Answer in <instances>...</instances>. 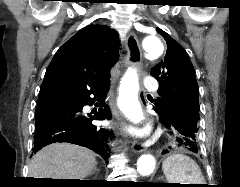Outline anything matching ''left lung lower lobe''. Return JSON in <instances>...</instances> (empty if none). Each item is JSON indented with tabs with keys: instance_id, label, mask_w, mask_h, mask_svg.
I'll list each match as a JSON object with an SVG mask.
<instances>
[{
	"instance_id": "0a47b994",
	"label": "left lung lower lobe",
	"mask_w": 240,
	"mask_h": 187,
	"mask_svg": "<svg viewBox=\"0 0 240 187\" xmlns=\"http://www.w3.org/2000/svg\"><path fill=\"white\" fill-rule=\"evenodd\" d=\"M154 110L158 113L161 123L173 129L175 141L178 146L185 147L189 151L198 153V121L192 116L172 108L161 110L154 108ZM169 148L171 149V147ZM163 152L167 153L169 151L166 149Z\"/></svg>"
}]
</instances>
